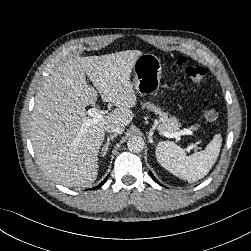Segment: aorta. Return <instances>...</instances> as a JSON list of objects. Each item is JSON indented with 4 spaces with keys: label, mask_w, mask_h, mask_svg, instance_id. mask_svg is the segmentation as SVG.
<instances>
[{
    "label": "aorta",
    "mask_w": 251,
    "mask_h": 251,
    "mask_svg": "<svg viewBox=\"0 0 251 251\" xmlns=\"http://www.w3.org/2000/svg\"><path fill=\"white\" fill-rule=\"evenodd\" d=\"M144 140L139 136H132L127 142L128 150L131 152L139 153L144 149Z\"/></svg>",
    "instance_id": "obj_1"
}]
</instances>
